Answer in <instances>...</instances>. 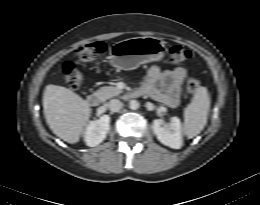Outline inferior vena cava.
<instances>
[{
	"instance_id": "obj_1",
	"label": "inferior vena cava",
	"mask_w": 260,
	"mask_h": 205,
	"mask_svg": "<svg viewBox=\"0 0 260 205\" xmlns=\"http://www.w3.org/2000/svg\"><path fill=\"white\" fill-rule=\"evenodd\" d=\"M108 108L112 111V112H118L122 106L123 103L118 100V99H112L108 104H107Z\"/></svg>"
}]
</instances>
